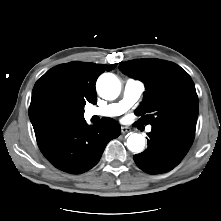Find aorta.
Listing matches in <instances>:
<instances>
[{"label":"aorta","mask_w":221,"mask_h":221,"mask_svg":"<svg viewBox=\"0 0 221 221\" xmlns=\"http://www.w3.org/2000/svg\"><path fill=\"white\" fill-rule=\"evenodd\" d=\"M96 87L102 98L113 100L120 93L121 83L114 74L104 73L98 78ZM127 147L131 152H142L145 147L144 136L138 133L131 134L127 139Z\"/></svg>","instance_id":"aorta-1"}]
</instances>
